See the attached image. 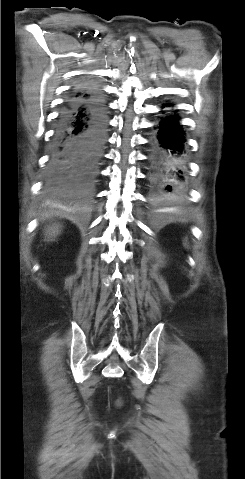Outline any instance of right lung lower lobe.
<instances>
[{
  "mask_svg": "<svg viewBox=\"0 0 245 479\" xmlns=\"http://www.w3.org/2000/svg\"><path fill=\"white\" fill-rule=\"evenodd\" d=\"M88 84L80 83L71 95L82 93ZM70 97L56 123L44 192L76 207H86L92 199L106 138L107 107L100 94L88 99Z\"/></svg>",
  "mask_w": 245,
  "mask_h": 479,
  "instance_id": "right-lung-lower-lobe-1",
  "label": "right lung lower lobe"
}]
</instances>
